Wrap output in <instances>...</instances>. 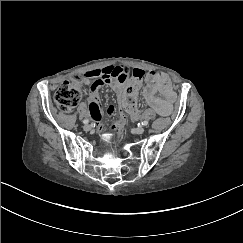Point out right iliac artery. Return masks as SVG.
<instances>
[{
	"instance_id": "right-iliac-artery-1",
	"label": "right iliac artery",
	"mask_w": 243,
	"mask_h": 243,
	"mask_svg": "<svg viewBox=\"0 0 243 243\" xmlns=\"http://www.w3.org/2000/svg\"><path fill=\"white\" fill-rule=\"evenodd\" d=\"M88 122H89V121H88L87 119L83 120V123H84V124H88Z\"/></svg>"
}]
</instances>
